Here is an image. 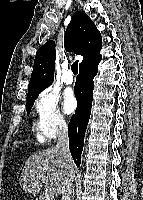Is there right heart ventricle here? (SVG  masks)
Listing matches in <instances>:
<instances>
[{"mask_svg": "<svg viewBox=\"0 0 143 200\" xmlns=\"http://www.w3.org/2000/svg\"><path fill=\"white\" fill-rule=\"evenodd\" d=\"M38 139L40 140V141H44V140H46V139H44L41 135H40V133H39V130H38Z\"/></svg>", "mask_w": 143, "mask_h": 200, "instance_id": "e07e8e85", "label": "right heart ventricle"}]
</instances>
